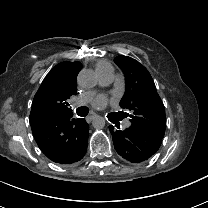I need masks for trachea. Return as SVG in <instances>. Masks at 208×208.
Listing matches in <instances>:
<instances>
[{"label": "trachea", "mask_w": 208, "mask_h": 208, "mask_svg": "<svg viewBox=\"0 0 208 208\" xmlns=\"http://www.w3.org/2000/svg\"><path fill=\"white\" fill-rule=\"evenodd\" d=\"M76 113L79 116L83 117V116H86L88 114V109H87V107L82 106V107H79V108L76 109Z\"/></svg>", "instance_id": "1"}]
</instances>
